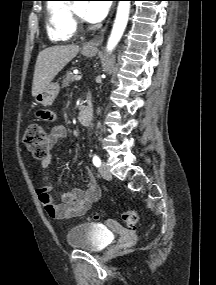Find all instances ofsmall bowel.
<instances>
[{
    "label": "small bowel",
    "instance_id": "small-bowel-1",
    "mask_svg": "<svg viewBox=\"0 0 216 285\" xmlns=\"http://www.w3.org/2000/svg\"><path fill=\"white\" fill-rule=\"evenodd\" d=\"M42 118L49 119V113H39ZM67 137V129L63 125H56L48 136V146L53 147L59 140ZM50 155L42 161V167L47 168L50 164ZM52 190L51 178L44 176V185L37 190V195L44 206L47 214L54 219H70L83 215L89 206L99 200L101 190L96 184L95 178L91 172L88 173V179L85 189L74 188L61 193L62 203H56L51 196Z\"/></svg>",
    "mask_w": 216,
    "mask_h": 285
}]
</instances>
